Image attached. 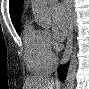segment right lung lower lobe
<instances>
[{"instance_id":"obj_1","label":"right lung lower lobe","mask_w":89,"mask_h":89,"mask_svg":"<svg viewBox=\"0 0 89 89\" xmlns=\"http://www.w3.org/2000/svg\"><path fill=\"white\" fill-rule=\"evenodd\" d=\"M67 69H68V64L64 65V66H60L58 68V73H59V78L64 81L66 78V74H67Z\"/></svg>"}]
</instances>
